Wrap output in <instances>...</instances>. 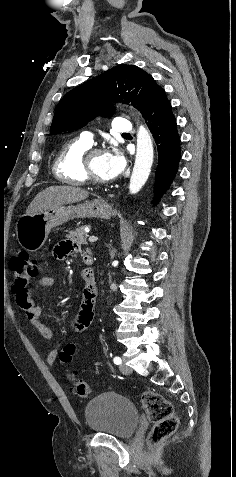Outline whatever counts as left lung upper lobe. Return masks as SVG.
<instances>
[{"instance_id": "1", "label": "left lung upper lobe", "mask_w": 236, "mask_h": 477, "mask_svg": "<svg viewBox=\"0 0 236 477\" xmlns=\"http://www.w3.org/2000/svg\"><path fill=\"white\" fill-rule=\"evenodd\" d=\"M161 87L134 65H119L74 88L58 103L50 133L86 125L99 112L112 111V102L131 103L145 117Z\"/></svg>"}]
</instances>
